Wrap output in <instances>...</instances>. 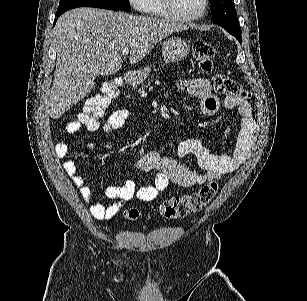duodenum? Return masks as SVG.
Masks as SVG:
<instances>
[{"label":"duodenum","mask_w":307,"mask_h":301,"mask_svg":"<svg viewBox=\"0 0 307 301\" xmlns=\"http://www.w3.org/2000/svg\"><path fill=\"white\" fill-rule=\"evenodd\" d=\"M128 80L130 81L132 79V76L131 75H128L127 76Z\"/></svg>","instance_id":"1"}]
</instances>
